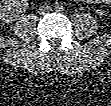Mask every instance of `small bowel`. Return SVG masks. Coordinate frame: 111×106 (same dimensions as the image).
Listing matches in <instances>:
<instances>
[{
    "instance_id": "obj_1",
    "label": "small bowel",
    "mask_w": 111,
    "mask_h": 106,
    "mask_svg": "<svg viewBox=\"0 0 111 106\" xmlns=\"http://www.w3.org/2000/svg\"><path fill=\"white\" fill-rule=\"evenodd\" d=\"M86 2H88V3H96V2H99V1H91V0H87Z\"/></svg>"
}]
</instances>
